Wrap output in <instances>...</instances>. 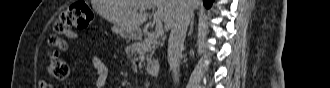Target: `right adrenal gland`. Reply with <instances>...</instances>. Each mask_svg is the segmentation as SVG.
<instances>
[{"label": "right adrenal gland", "instance_id": "1", "mask_svg": "<svg viewBox=\"0 0 330 88\" xmlns=\"http://www.w3.org/2000/svg\"><path fill=\"white\" fill-rule=\"evenodd\" d=\"M193 22H194V17H192V19H191L190 30H189L188 36H190L192 34V31H193Z\"/></svg>", "mask_w": 330, "mask_h": 88}]
</instances>
